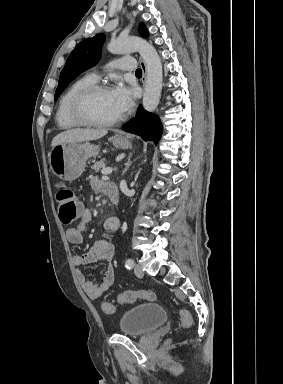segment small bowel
Masks as SVG:
<instances>
[{
    "instance_id": "1",
    "label": "small bowel",
    "mask_w": 283,
    "mask_h": 384,
    "mask_svg": "<svg viewBox=\"0 0 283 384\" xmlns=\"http://www.w3.org/2000/svg\"><path fill=\"white\" fill-rule=\"evenodd\" d=\"M106 182L98 178L92 180V187L95 191L104 193ZM91 211L88 208L80 209V222L76 227H71L66 230V238L72 244H79L83 240V233L91 221ZM104 230L108 233H116L121 228L120 220L117 217H109L104 222ZM115 257V247L106 238L98 239L92 247L81 254L73 256V263L77 267L92 264L98 260H103L108 263L104 271L103 278L100 283H94L89 280L82 271L77 272V277L84 292L92 299H96L107 291L114 282V269L111 265Z\"/></svg>"
}]
</instances>
